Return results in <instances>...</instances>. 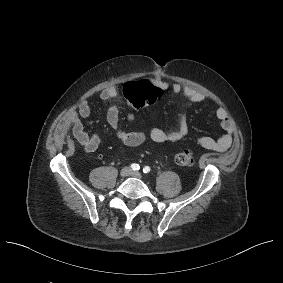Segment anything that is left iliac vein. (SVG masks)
<instances>
[{
  "instance_id": "obj_1",
  "label": "left iliac vein",
  "mask_w": 283,
  "mask_h": 283,
  "mask_svg": "<svg viewBox=\"0 0 283 283\" xmlns=\"http://www.w3.org/2000/svg\"><path fill=\"white\" fill-rule=\"evenodd\" d=\"M130 175H132L133 177L139 178V179L143 178L142 174L138 171H132Z\"/></svg>"
}]
</instances>
